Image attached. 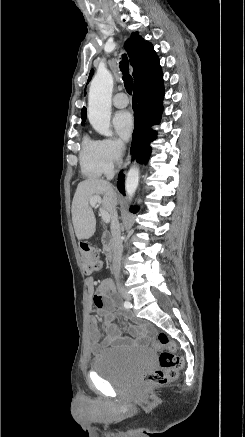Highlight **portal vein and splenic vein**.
I'll use <instances>...</instances> for the list:
<instances>
[{
    "mask_svg": "<svg viewBox=\"0 0 245 437\" xmlns=\"http://www.w3.org/2000/svg\"><path fill=\"white\" fill-rule=\"evenodd\" d=\"M102 202L101 197L100 196H94L90 198L89 204L92 207H95L96 205H100ZM100 215L103 219L104 222L108 223L110 222V215L108 212H106L105 210H103L102 208H100Z\"/></svg>",
    "mask_w": 245,
    "mask_h": 437,
    "instance_id": "18ae733b",
    "label": "portal vein and splenic vein"
}]
</instances>
